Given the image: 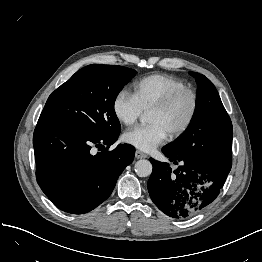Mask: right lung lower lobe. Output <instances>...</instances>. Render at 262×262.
Listing matches in <instances>:
<instances>
[{
    "instance_id": "98d812e1",
    "label": "right lung lower lobe",
    "mask_w": 262,
    "mask_h": 262,
    "mask_svg": "<svg viewBox=\"0 0 262 262\" xmlns=\"http://www.w3.org/2000/svg\"><path fill=\"white\" fill-rule=\"evenodd\" d=\"M119 133L100 135L57 120H38L33 136L36 178L59 209L71 214L86 213L110 196L135 154L129 144L107 151ZM94 146L106 149L93 154Z\"/></svg>"
}]
</instances>
